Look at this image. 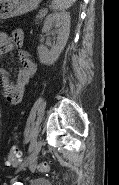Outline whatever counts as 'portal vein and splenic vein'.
<instances>
[{
    "mask_svg": "<svg viewBox=\"0 0 119 185\" xmlns=\"http://www.w3.org/2000/svg\"><path fill=\"white\" fill-rule=\"evenodd\" d=\"M41 12L42 13H47V10L46 9H42Z\"/></svg>",
    "mask_w": 119,
    "mask_h": 185,
    "instance_id": "18ae733b",
    "label": "portal vein and splenic vein"
}]
</instances>
